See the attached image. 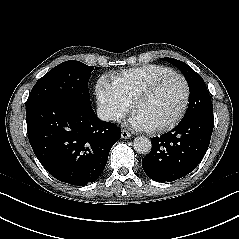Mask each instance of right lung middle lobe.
<instances>
[{"instance_id":"right-lung-middle-lobe-1","label":"right lung middle lobe","mask_w":239,"mask_h":239,"mask_svg":"<svg viewBox=\"0 0 239 239\" xmlns=\"http://www.w3.org/2000/svg\"><path fill=\"white\" fill-rule=\"evenodd\" d=\"M92 69L75 60L59 64L36 82L26 106L47 100H90L88 81Z\"/></svg>"}]
</instances>
